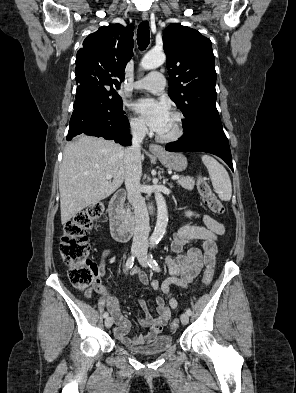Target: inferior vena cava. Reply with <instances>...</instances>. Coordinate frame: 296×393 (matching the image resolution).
<instances>
[{"instance_id": "obj_1", "label": "inferior vena cava", "mask_w": 296, "mask_h": 393, "mask_svg": "<svg viewBox=\"0 0 296 393\" xmlns=\"http://www.w3.org/2000/svg\"><path fill=\"white\" fill-rule=\"evenodd\" d=\"M147 133L142 122L131 123L132 145L123 152L125 166V187L127 197L134 209L135 230L133 246L147 249L149 236V215L144 198L141 195L140 179L142 173L140 161V144Z\"/></svg>"}]
</instances>
